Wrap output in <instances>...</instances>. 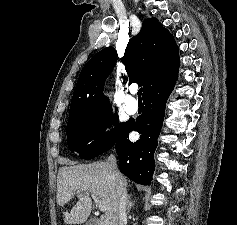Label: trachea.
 Wrapping results in <instances>:
<instances>
[{
  "label": "trachea",
  "mask_w": 237,
  "mask_h": 225,
  "mask_svg": "<svg viewBox=\"0 0 237 225\" xmlns=\"http://www.w3.org/2000/svg\"><path fill=\"white\" fill-rule=\"evenodd\" d=\"M142 89H139L137 92L138 100H141Z\"/></svg>",
  "instance_id": "trachea-1"
}]
</instances>
